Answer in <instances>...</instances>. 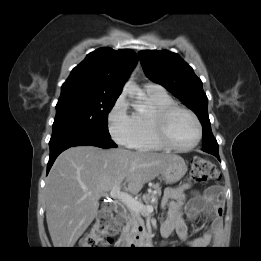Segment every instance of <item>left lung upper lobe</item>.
<instances>
[{
    "instance_id": "obj_1",
    "label": "left lung upper lobe",
    "mask_w": 261,
    "mask_h": 261,
    "mask_svg": "<svg viewBox=\"0 0 261 261\" xmlns=\"http://www.w3.org/2000/svg\"><path fill=\"white\" fill-rule=\"evenodd\" d=\"M138 56L145 75L164 86L197 115L203 127L202 147L218 149L208 116V98L193 69L178 54L167 50H144Z\"/></svg>"
}]
</instances>
